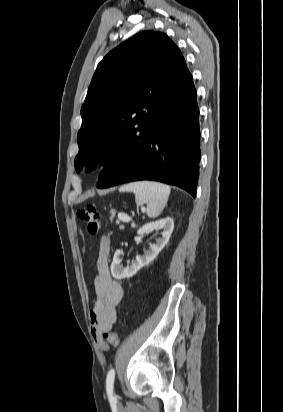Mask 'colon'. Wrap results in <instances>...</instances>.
<instances>
[{"mask_svg": "<svg viewBox=\"0 0 283 412\" xmlns=\"http://www.w3.org/2000/svg\"><path fill=\"white\" fill-rule=\"evenodd\" d=\"M78 219L85 225L86 231L90 235H96L100 229V213L95 206L89 205L77 211ZM104 346H117L119 334L115 331H105L102 333Z\"/></svg>", "mask_w": 283, "mask_h": 412, "instance_id": "1", "label": "colon"}]
</instances>
